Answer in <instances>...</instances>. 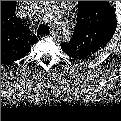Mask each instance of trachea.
Listing matches in <instances>:
<instances>
[{
	"label": "trachea",
	"instance_id": "obj_1",
	"mask_svg": "<svg viewBox=\"0 0 121 121\" xmlns=\"http://www.w3.org/2000/svg\"><path fill=\"white\" fill-rule=\"evenodd\" d=\"M48 27L46 25H41L39 26L38 30H37V34H40V35H44V34H47L48 33Z\"/></svg>",
	"mask_w": 121,
	"mask_h": 121
}]
</instances>
